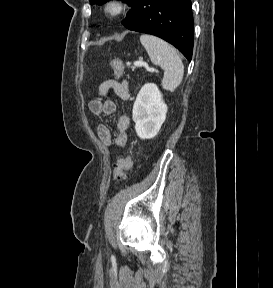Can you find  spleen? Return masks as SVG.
I'll return each mask as SVG.
<instances>
[{"label":"spleen","instance_id":"3e777b00","mask_svg":"<svg viewBox=\"0 0 273 288\" xmlns=\"http://www.w3.org/2000/svg\"><path fill=\"white\" fill-rule=\"evenodd\" d=\"M140 42L146 49L151 62L164 70L162 87L173 92L183 79L184 66L176 50L163 39L143 34Z\"/></svg>","mask_w":273,"mask_h":288}]
</instances>
